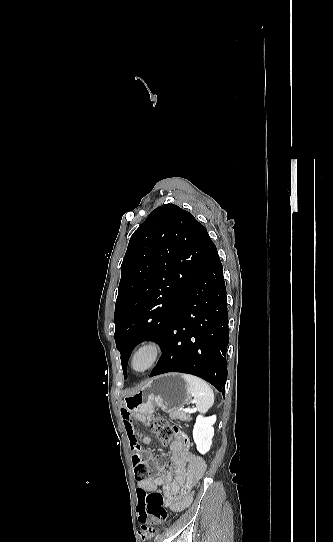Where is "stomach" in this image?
<instances>
[{
    "mask_svg": "<svg viewBox=\"0 0 333 542\" xmlns=\"http://www.w3.org/2000/svg\"><path fill=\"white\" fill-rule=\"evenodd\" d=\"M190 398L188 384L181 378V374H163L148 380L139 392L125 396L124 404L128 412L152 418L156 406L163 412H177L188 404Z\"/></svg>",
    "mask_w": 333,
    "mask_h": 542,
    "instance_id": "1",
    "label": "stomach"
}]
</instances>
